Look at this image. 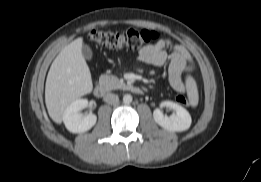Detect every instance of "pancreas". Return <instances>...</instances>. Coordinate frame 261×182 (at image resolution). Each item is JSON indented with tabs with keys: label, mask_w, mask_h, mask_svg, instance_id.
<instances>
[{
	"label": "pancreas",
	"mask_w": 261,
	"mask_h": 182,
	"mask_svg": "<svg viewBox=\"0 0 261 182\" xmlns=\"http://www.w3.org/2000/svg\"><path fill=\"white\" fill-rule=\"evenodd\" d=\"M100 84L103 85L108 91L126 88V84L123 79H118L116 76L108 74L100 76Z\"/></svg>",
	"instance_id": "1"
}]
</instances>
